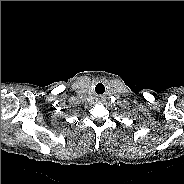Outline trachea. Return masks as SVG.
<instances>
[{
  "mask_svg": "<svg viewBox=\"0 0 184 184\" xmlns=\"http://www.w3.org/2000/svg\"><path fill=\"white\" fill-rule=\"evenodd\" d=\"M94 91L97 95H104L105 92H106V88H105V85L102 84V83H98L95 88H94Z\"/></svg>",
  "mask_w": 184,
  "mask_h": 184,
  "instance_id": "3493384b",
  "label": "trachea"
}]
</instances>
